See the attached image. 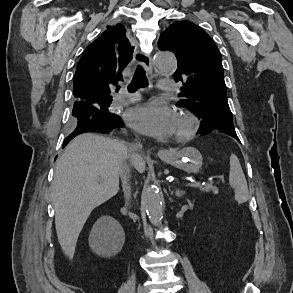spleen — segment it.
Segmentation results:
<instances>
[{
    "label": "spleen",
    "mask_w": 293,
    "mask_h": 293,
    "mask_svg": "<svg viewBox=\"0 0 293 293\" xmlns=\"http://www.w3.org/2000/svg\"><path fill=\"white\" fill-rule=\"evenodd\" d=\"M229 183L235 189V200L239 204L246 202L249 198L247 181L235 154L230 156Z\"/></svg>",
    "instance_id": "obj_1"
}]
</instances>
